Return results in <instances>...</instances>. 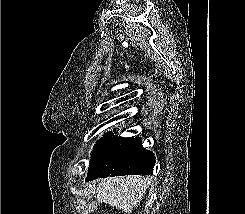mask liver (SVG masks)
I'll return each mask as SVG.
<instances>
[{"instance_id": "liver-1", "label": "liver", "mask_w": 245, "mask_h": 214, "mask_svg": "<svg viewBox=\"0 0 245 214\" xmlns=\"http://www.w3.org/2000/svg\"><path fill=\"white\" fill-rule=\"evenodd\" d=\"M149 177L125 176L97 180L96 200L131 214L142 200L148 185Z\"/></svg>"}]
</instances>
